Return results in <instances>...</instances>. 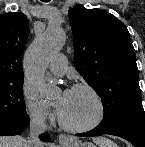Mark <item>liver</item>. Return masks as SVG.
Listing matches in <instances>:
<instances>
[{
    "mask_svg": "<svg viewBox=\"0 0 145 147\" xmlns=\"http://www.w3.org/2000/svg\"><path fill=\"white\" fill-rule=\"evenodd\" d=\"M105 139H96V142L100 145ZM27 141L21 136L1 137L0 147H27Z\"/></svg>",
    "mask_w": 145,
    "mask_h": 147,
    "instance_id": "6515ba94",
    "label": "liver"
}]
</instances>
